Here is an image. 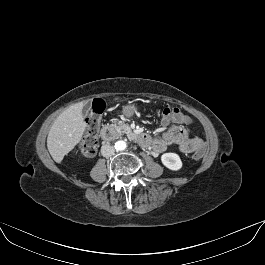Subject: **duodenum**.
Listing matches in <instances>:
<instances>
[{
    "label": "duodenum",
    "instance_id": "1",
    "mask_svg": "<svg viewBox=\"0 0 265 265\" xmlns=\"http://www.w3.org/2000/svg\"><path fill=\"white\" fill-rule=\"evenodd\" d=\"M100 135L103 141L108 142L116 137L117 132L114 128L105 126L102 128ZM130 137L144 147L151 145V138L146 133H133Z\"/></svg>",
    "mask_w": 265,
    "mask_h": 265
}]
</instances>
